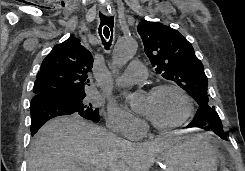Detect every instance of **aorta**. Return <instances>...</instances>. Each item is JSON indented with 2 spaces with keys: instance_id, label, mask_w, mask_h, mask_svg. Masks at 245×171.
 Listing matches in <instances>:
<instances>
[{
  "instance_id": "762f6f07",
  "label": "aorta",
  "mask_w": 245,
  "mask_h": 171,
  "mask_svg": "<svg viewBox=\"0 0 245 171\" xmlns=\"http://www.w3.org/2000/svg\"><path fill=\"white\" fill-rule=\"evenodd\" d=\"M137 47V42L132 37H122L118 39L112 52V64L116 68L125 66L136 54ZM125 97L132 108H135L141 100L140 94L136 92H125Z\"/></svg>"
}]
</instances>
